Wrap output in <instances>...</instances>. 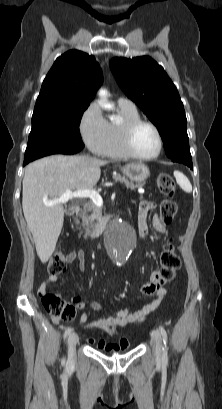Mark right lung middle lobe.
I'll list each match as a JSON object with an SVG mask.
<instances>
[{
	"instance_id": "right-lung-middle-lobe-1",
	"label": "right lung middle lobe",
	"mask_w": 222,
	"mask_h": 409,
	"mask_svg": "<svg viewBox=\"0 0 222 409\" xmlns=\"http://www.w3.org/2000/svg\"><path fill=\"white\" fill-rule=\"evenodd\" d=\"M89 104H62L34 109L24 162L51 154H74L84 144L78 130Z\"/></svg>"
}]
</instances>
